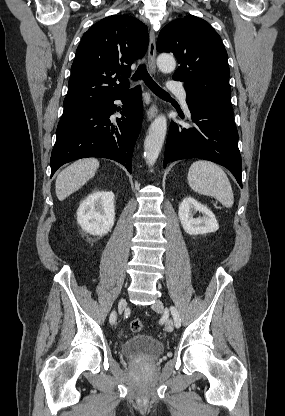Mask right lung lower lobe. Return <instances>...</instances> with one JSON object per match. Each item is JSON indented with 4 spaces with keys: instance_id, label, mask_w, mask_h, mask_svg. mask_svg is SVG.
<instances>
[{
    "instance_id": "obj_1",
    "label": "right lung lower lobe",
    "mask_w": 285,
    "mask_h": 416,
    "mask_svg": "<svg viewBox=\"0 0 285 416\" xmlns=\"http://www.w3.org/2000/svg\"><path fill=\"white\" fill-rule=\"evenodd\" d=\"M115 100H121L124 105L122 117L113 125L109 117L119 111L113 103ZM141 119L140 86L105 103L64 111L51 155V177L63 164L85 157L115 160L131 173Z\"/></svg>"
}]
</instances>
